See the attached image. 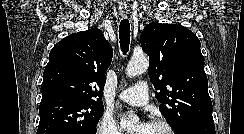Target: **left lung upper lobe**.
<instances>
[{"label":"left lung upper lobe","mask_w":244,"mask_h":134,"mask_svg":"<svg viewBox=\"0 0 244 134\" xmlns=\"http://www.w3.org/2000/svg\"><path fill=\"white\" fill-rule=\"evenodd\" d=\"M141 46L149 56V77L159 109L179 134L195 122L214 124L204 57L197 36L179 24L152 22L141 33Z\"/></svg>","instance_id":"5c2ea615"}]
</instances>
